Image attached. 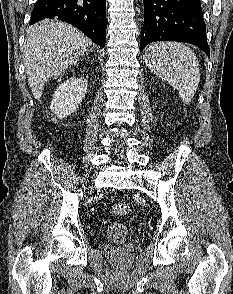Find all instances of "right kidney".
Here are the masks:
<instances>
[{"label":"right kidney","mask_w":233,"mask_h":294,"mask_svg":"<svg viewBox=\"0 0 233 294\" xmlns=\"http://www.w3.org/2000/svg\"><path fill=\"white\" fill-rule=\"evenodd\" d=\"M85 77H71L55 91L50 109L59 118L69 116L79 107L87 91Z\"/></svg>","instance_id":"right-kidney-1"}]
</instances>
